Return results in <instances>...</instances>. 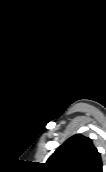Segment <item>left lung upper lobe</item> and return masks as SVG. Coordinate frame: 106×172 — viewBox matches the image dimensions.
<instances>
[{
  "mask_svg": "<svg viewBox=\"0 0 106 172\" xmlns=\"http://www.w3.org/2000/svg\"><path fill=\"white\" fill-rule=\"evenodd\" d=\"M50 172H103L100 153L90 138L76 134L65 141L47 160Z\"/></svg>",
  "mask_w": 106,
  "mask_h": 172,
  "instance_id": "5c2ea615",
  "label": "left lung upper lobe"
}]
</instances>
